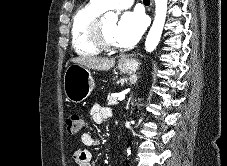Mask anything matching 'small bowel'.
I'll use <instances>...</instances> for the list:
<instances>
[{"mask_svg": "<svg viewBox=\"0 0 227 166\" xmlns=\"http://www.w3.org/2000/svg\"><path fill=\"white\" fill-rule=\"evenodd\" d=\"M90 114L97 124H102L112 116V110L95 103L91 106ZM81 141L86 147H96L99 144V141L89 132L82 134ZM73 158L78 166H92V152L86 148L77 149Z\"/></svg>", "mask_w": 227, "mask_h": 166, "instance_id": "obj_1", "label": "small bowel"}]
</instances>
